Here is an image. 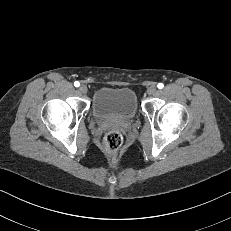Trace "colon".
Instances as JSON below:
<instances>
[{"label":"colon","mask_w":231,"mask_h":231,"mask_svg":"<svg viewBox=\"0 0 231 231\" xmlns=\"http://www.w3.org/2000/svg\"><path fill=\"white\" fill-rule=\"evenodd\" d=\"M123 144V137L117 131L108 132L103 140V148L105 152L111 156H115Z\"/></svg>","instance_id":"obj_1"}]
</instances>
